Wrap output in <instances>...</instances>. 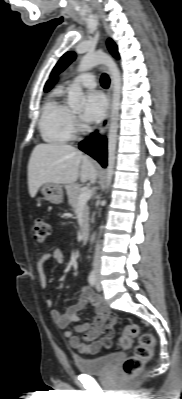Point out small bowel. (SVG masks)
I'll list each match as a JSON object with an SVG mask.
<instances>
[{"mask_svg":"<svg viewBox=\"0 0 182 399\" xmlns=\"http://www.w3.org/2000/svg\"><path fill=\"white\" fill-rule=\"evenodd\" d=\"M48 261L65 263L66 258L61 248H54L41 255L37 262V271L39 274L40 286L43 289L48 287V281L45 274V264ZM54 299L48 297L46 305L52 307ZM87 305L93 309V318L83 324L77 325L74 330H65L64 336L68 339L70 346L83 355L94 356L102 349H109L112 345L114 336V325L118 317L110 312L102 303L99 296L94 294L88 286H83L78 300L68 306L64 312L58 309H51L50 316L52 321L60 328L66 329L73 323H78L80 317L78 313Z\"/></svg>","mask_w":182,"mask_h":399,"instance_id":"small-bowel-1","label":"small bowel"}]
</instances>
